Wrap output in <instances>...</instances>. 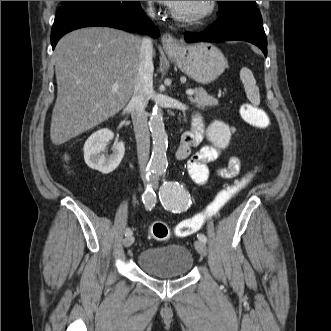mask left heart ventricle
<instances>
[{
    "mask_svg": "<svg viewBox=\"0 0 331 331\" xmlns=\"http://www.w3.org/2000/svg\"><path fill=\"white\" fill-rule=\"evenodd\" d=\"M203 1H179L174 9L180 13L189 14L199 10Z\"/></svg>",
    "mask_w": 331,
    "mask_h": 331,
    "instance_id": "obj_1",
    "label": "left heart ventricle"
}]
</instances>
